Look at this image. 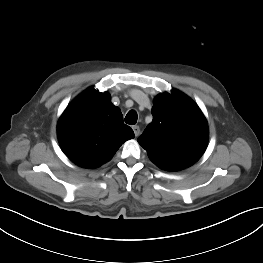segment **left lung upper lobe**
<instances>
[{
    "label": "left lung upper lobe",
    "instance_id": "obj_1",
    "mask_svg": "<svg viewBox=\"0 0 263 263\" xmlns=\"http://www.w3.org/2000/svg\"><path fill=\"white\" fill-rule=\"evenodd\" d=\"M153 121L138 138L149 158L160 168H186L204 153L208 125L200 108L178 90L154 99Z\"/></svg>",
    "mask_w": 263,
    "mask_h": 263
}]
</instances>
